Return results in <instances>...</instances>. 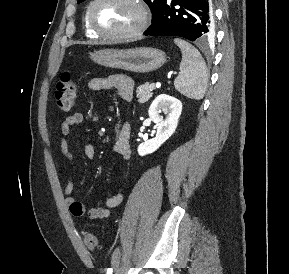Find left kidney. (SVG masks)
I'll list each match as a JSON object with an SVG mask.
<instances>
[{"label":"left kidney","mask_w":289,"mask_h":274,"mask_svg":"<svg viewBox=\"0 0 289 274\" xmlns=\"http://www.w3.org/2000/svg\"><path fill=\"white\" fill-rule=\"evenodd\" d=\"M165 114V118L161 113ZM182 112V103L175 97L161 94L149 107V117L157 127L156 137L138 146V154L145 156L155 152L175 132Z\"/></svg>","instance_id":"left-kidney-1"}]
</instances>
